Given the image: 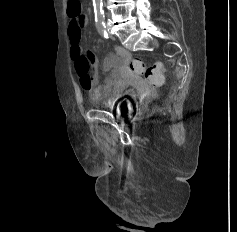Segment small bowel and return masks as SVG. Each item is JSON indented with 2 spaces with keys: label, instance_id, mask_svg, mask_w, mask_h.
<instances>
[{
  "label": "small bowel",
  "instance_id": "1",
  "mask_svg": "<svg viewBox=\"0 0 237 232\" xmlns=\"http://www.w3.org/2000/svg\"><path fill=\"white\" fill-rule=\"evenodd\" d=\"M86 23L85 14H82L80 18H71L69 22L71 56L80 77L81 86L88 92L90 98L94 101L106 100L108 104H112L128 93L129 84L124 76L128 73L131 55L126 49L116 47L115 55L107 57L103 62V71L107 73V77L102 84H99L95 55L91 50L85 54L82 48L81 30Z\"/></svg>",
  "mask_w": 237,
  "mask_h": 232
}]
</instances>
